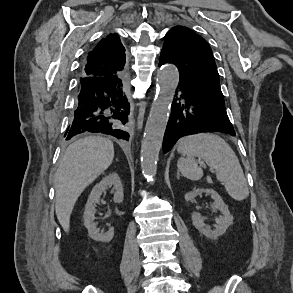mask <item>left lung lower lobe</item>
Returning <instances> with one entry per match:
<instances>
[{"label": "left lung lower lobe", "mask_w": 293, "mask_h": 293, "mask_svg": "<svg viewBox=\"0 0 293 293\" xmlns=\"http://www.w3.org/2000/svg\"><path fill=\"white\" fill-rule=\"evenodd\" d=\"M167 62L161 55L159 65ZM170 119L163 140L164 153L170 151L178 139L189 134L221 131L235 136L224 101L182 83L176 89Z\"/></svg>", "instance_id": "1"}]
</instances>
